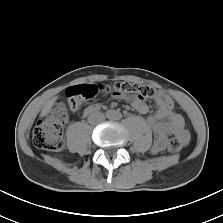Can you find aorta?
<instances>
[{"label": "aorta", "instance_id": "762f6f07", "mask_svg": "<svg viewBox=\"0 0 223 223\" xmlns=\"http://www.w3.org/2000/svg\"><path fill=\"white\" fill-rule=\"evenodd\" d=\"M108 117L111 118L112 116L111 115H108Z\"/></svg>", "mask_w": 223, "mask_h": 223}]
</instances>
